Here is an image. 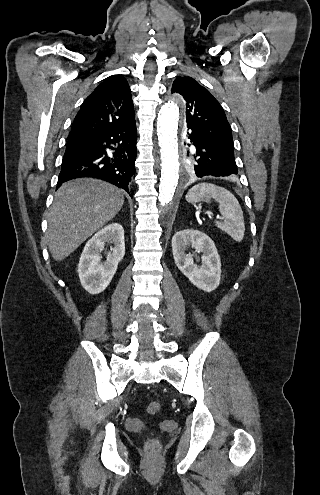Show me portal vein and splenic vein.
Instances as JSON below:
<instances>
[{
	"mask_svg": "<svg viewBox=\"0 0 320 495\" xmlns=\"http://www.w3.org/2000/svg\"><path fill=\"white\" fill-rule=\"evenodd\" d=\"M209 218L213 219V215L211 213H209ZM216 219H220V217H216Z\"/></svg>",
	"mask_w": 320,
	"mask_h": 495,
	"instance_id": "1",
	"label": "portal vein and splenic vein"
}]
</instances>
